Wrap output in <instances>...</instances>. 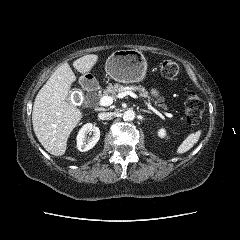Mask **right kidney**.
Instances as JSON below:
<instances>
[{"instance_id": "obj_1", "label": "right kidney", "mask_w": 240, "mask_h": 240, "mask_svg": "<svg viewBox=\"0 0 240 240\" xmlns=\"http://www.w3.org/2000/svg\"><path fill=\"white\" fill-rule=\"evenodd\" d=\"M87 134H92L91 138H87ZM100 138V130L91 123L85 124L77 135V148L81 152L92 149Z\"/></svg>"}]
</instances>
